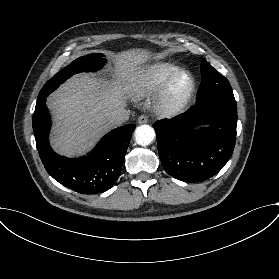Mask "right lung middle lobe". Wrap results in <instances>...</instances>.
<instances>
[{
    "mask_svg": "<svg viewBox=\"0 0 279 279\" xmlns=\"http://www.w3.org/2000/svg\"><path fill=\"white\" fill-rule=\"evenodd\" d=\"M103 54H90L74 60L70 65L54 75L41 89L38 99L46 98L50 92L54 91L61 83L79 72L96 71L100 69L105 59Z\"/></svg>",
    "mask_w": 279,
    "mask_h": 279,
    "instance_id": "right-lung-middle-lobe-1",
    "label": "right lung middle lobe"
}]
</instances>
